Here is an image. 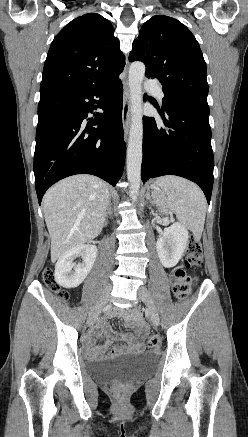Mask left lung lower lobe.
Listing matches in <instances>:
<instances>
[{"instance_id": "0a47b994", "label": "left lung lower lobe", "mask_w": 248, "mask_h": 437, "mask_svg": "<svg viewBox=\"0 0 248 437\" xmlns=\"http://www.w3.org/2000/svg\"><path fill=\"white\" fill-rule=\"evenodd\" d=\"M165 111L166 128L153 117L143 118L142 181L163 175L187 178L200 186L209 204L214 168L209 106L176 104Z\"/></svg>"}]
</instances>
